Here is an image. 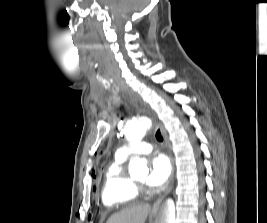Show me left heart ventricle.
Returning <instances> with one entry per match:
<instances>
[{
    "label": "left heart ventricle",
    "instance_id": "obj_1",
    "mask_svg": "<svg viewBox=\"0 0 267 223\" xmlns=\"http://www.w3.org/2000/svg\"><path fill=\"white\" fill-rule=\"evenodd\" d=\"M145 181H146V175L136 179V182H138V183H144Z\"/></svg>",
    "mask_w": 267,
    "mask_h": 223
}]
</instances>
